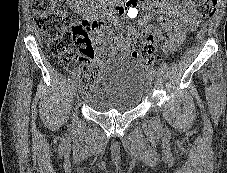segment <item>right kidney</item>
Returning a JSON list of instances; mask_svg holds the SVG:
<instances>
[{
    "instance_id": "right-kidney-1",
    "label": "right kidney",
    "mask_w": 227,
    "mask_h": 173,
    "mask_svg": "<svg viewBox=\"0 0 227 173\" xmlns=\"http://www.w3.org/2000/svg\"><path fill=\"white\" fill-rule=\"evenodd\" d=\"M85 0H70V8L71 10H80L82 6H84Z\"/></svg>"
}]
</instances>
